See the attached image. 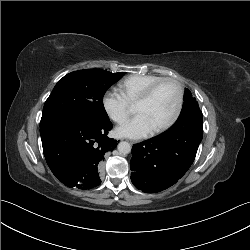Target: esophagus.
Segmentation results:
<instances>
[{
	"label": "esophagus",
	"mask_w": 250,
	"mask_h": 250,
	"mask_svg": "<svg viewBox=\"0 0 250 250\" xmlns=\"http://www.w3.org/2000/svg\"><path fill=\"white\" fill-rule=\"evenodd\" d=\"M131 144H136L137 142L136 141H130Z\"/></svg>",
	"instance_id": "obj_1"
}]
</instances>
